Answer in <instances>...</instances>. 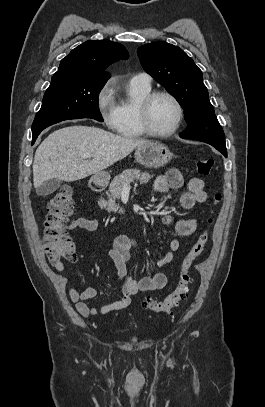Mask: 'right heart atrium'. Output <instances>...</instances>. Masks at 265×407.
I'll return each instance as SVG.
<instances>
[{"instance_id":"1","label":"right heart atrium","mask_w":265,"mask_h":407,"mask_svg":"<svg viewBox=\"0 0 265 407\" xmlns=\"http://www.w3.org/2000/svg\"><path fill=\"white\" fill-rule=\"evenodd\" d=\"M96 106L103 123L108 128H114L116 123L117 104L113 96V88L110 82H106L96 93Z\"/></svg>"}]
</instances>
